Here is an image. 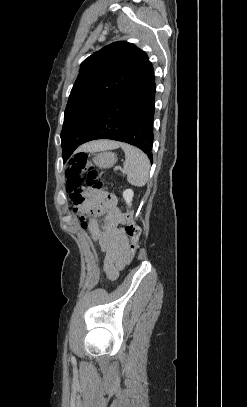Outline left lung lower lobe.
Masks as SVG:
<instances>
[{"mask_svg":"<svg viewBox=\"0 0 247 407\" xmlns=\"http://www.w3.org/2000/svg\"><path fill=\"white\" fill-rule=\"evenodd\" d=\"M154 104L155 77L150 63L111 101L81 144L95 139L126 142L140 148L152 162Z\"/></svg>","mask_w":247,"mask_h":407,"instance_id":"left-lung-lower-lobe-1","label":"left lung lower lobe"}]
</instances>
